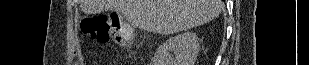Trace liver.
Masks as SVG:
<instances>
[{"label":"liver","instance_id":"1","mask_svg":"<svg viewBox=\"0 0 309 65\" xmlns=\"http://www.w3.org/2000/svg\"><path fill=\"white\" fill-rule=\"evenodd\" d=\"M222 7L221 0H82L81 4L86 14L115 10L133 26L163 35L209 23Z\"/></svg>","mask_w":309,"mask_h":65}]
</instances>
